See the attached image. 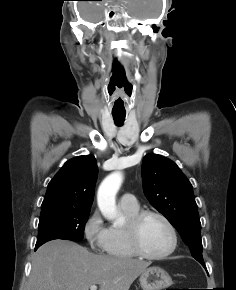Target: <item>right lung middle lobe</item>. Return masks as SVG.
<instances>
[{"label":"right lung middle lobe","instance_id":"right-lung-middle-lobe-1","mask_svg":"<svg viewBox=\"0 0 236 290\" xmlns=\"http://www.w3.org/2000/svg\"><path fill=\"white\" fill-rule=\"evenodd\" d=\"M90 210H42L38 226L36 248L54 239L82 240Z\"/></svg>","mask_w":236,"mask_h":290}]
</instances>
